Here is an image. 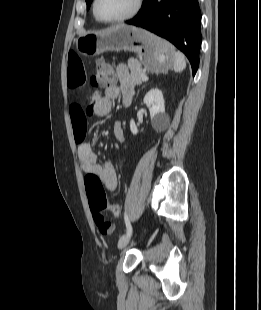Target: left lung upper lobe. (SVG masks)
<instances>
[{
	"instance_id": "obj_1",
	"label": "left lung upper lobe",
	"mask_w": 261,
	"mask_h": 310,
	"mask_svg": "<svg viewBox=\"0 0 261 310\" xmlns=\"http://www.w3.org/2000/svg\"><path fill=\"white\" fill-rule=\"evenodd\" d=\"M91 2H92V0H86V3H87V9H89Z\"/></svg>"
}]
</instances>
